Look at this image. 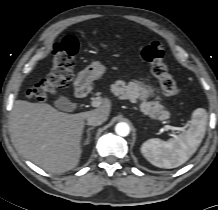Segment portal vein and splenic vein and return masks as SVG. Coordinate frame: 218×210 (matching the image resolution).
Instances as JSON below:
<instances>
[{
	"label": "portal vein and splenic vein",
	"mask_w": 218,
	"mask_h": 210,
	"mask_svg": "<svg viewBox=\"0 0 218 210\" xmlns=\"http://www.w3.org/2000/svg\"><path fill=\"white\" fill-rule=\"evenodd\" d=\"M102 102H103V99L101 97H96L92 100L91 106L92 107H99L102 104ZM164 129L166 131L171 130L173 133L183 130V128L175 127V126H171V125H165Z\"/></svg>",
	"instance_id": "1"
}]
</instances>
